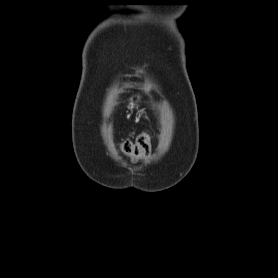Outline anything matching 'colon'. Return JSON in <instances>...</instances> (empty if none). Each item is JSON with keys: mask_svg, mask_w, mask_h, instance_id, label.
Instances as JSON below:
<instances>
[{"mask_svg": "<svg viewBox=\"0 0 278 278\" xmlns=\"http://www.w3.org/2000/svg\"><path fill=\"white\" fill-rule=\"evenodd\" d=\"M122 152L133 160L145 158L150 150V138L147 134L139 135L136 140H125L121 143Z\"/></svg>", "mask_w": 278, "mask_h": 278, "instance_id": "colon-1", "label": "colon"}]
</instances>
